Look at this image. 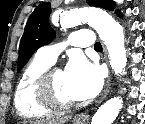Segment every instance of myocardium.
I'll return each mask as SVG.
<instances>
[{"mask_svg": "<svg viewBox=\"0 0 145 124\" xmlns=\"http://www.w3.org/2000/svg\"><path fill=\"white\" fill-rule=\"evenodd\" d=\"M56 68L49 67L38 79L36 94L38 101L53 111H67L76 106L75 101L61 99L54 87L53 75Z\"/></svg>", "mask_w": 145, "mask_h": 124, "instance_id": "myocardium-1", "label": "myocardium"}]
</instances>
